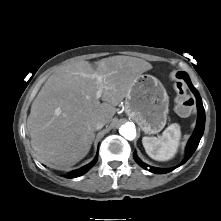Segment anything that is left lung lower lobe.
Returning <instances> with one entry per match:
<instances>
[{
	"mask_svg": "<svg viewBox=\"0 0 221 221\" xmlns=\"http://www.w3.org/2000/svg\"><path fill=\"white\" fill-rule=\"evenodd\" d=\"M177 77L179 79H184V81L188 84L189 88L191 89V91L194 93L195 97H196V104H197V110H198V118H197V124H196V128L194 133L192 134L191 138L188 141V144L186 146V153H185V158L182 161V164H184L194 153V151L196 150L200 139L203 135L204 132V126H205V111H204V107L202 104V100L201 97L198 93V91L196 90V88L192 85L189 76L185 73V72H178L177 73ZM133 157L135 159V161L144 169H148L149 171L152 173H156V174H165L168 172L173 171L175 168L179 167L176 166L174 168H169V169H161V168H155V167H151L146 165L145 163H143L138 156L136 155V153H133Z\"/></svg>",
	"mask_w": 221,
	"mask_h": 221,
	"instance_id": "1",
	"label": "left lung lower lobe"
}]
</instances>
